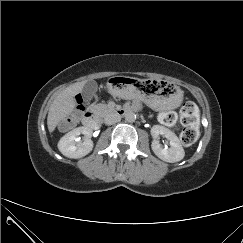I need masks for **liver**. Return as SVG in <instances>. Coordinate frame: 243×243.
I'll use <instances>...</instances> for the list:
<instances>
[{
  "label": "liver",
  "mask_w": 243,
  "mask_h": 243,
  "mask_svg": "<svg viewBox=\"0 0 243 243\" xmlns=\"http://www.w3.org/2000/svg\"><path fill=\"white\" fill-rule=\"evenodd\" d=\"M86 84L85 81L74 83L64 89L52 102L48 117L47 126L49 132H53L56 126L70 113L76 106L75 95L80 93Z\"/></svg>",
  "instance_id": "liver-1"
}]
</instances>
